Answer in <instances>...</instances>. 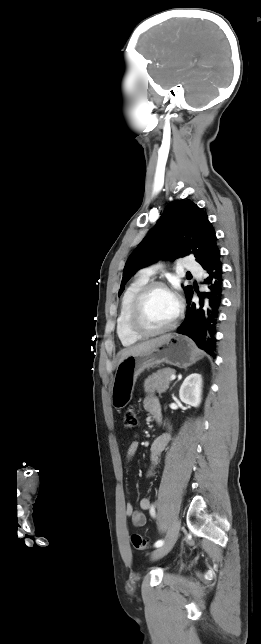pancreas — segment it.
<instances>
[{
  "mask_svg": "<svg viewBox=\"0 0 261 644\" xmlns=\"http://www.w3.org/2000/svg\"><path fill=\"white\" fill-rule=\"evenodd\" d=\"M173 374H175V370L171 368H164L153 373L145 380V392L147 394L164 393L169 388L170 377Z\"/></svg>",
  "mask_w": 261,
  "mask_h": 644,
  "instance_id": "obj_1",
  "label": "pancreas"
}]
</instances>
